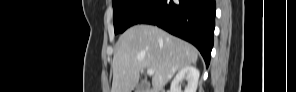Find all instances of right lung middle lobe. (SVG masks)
Listing matches in <instances>:
<instances>
[{
  "instance_id": "right-lung-middle-lobe-1",
  "label": "right lung middle lobe",
  "mask_w": 296,
  "mask_h": 92,
  "mask_svg": "<svg viewBox=\"0 0 296 92\" xmlns=\"http://www.w3.org/2000/svg\"><path fill=\"white\" fill-rule=\"evenodd\" d=\"M160 0H113L115 34L137 24Z\"/></svg>"
}]
</instances>
